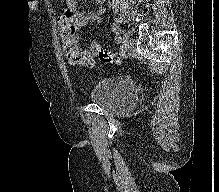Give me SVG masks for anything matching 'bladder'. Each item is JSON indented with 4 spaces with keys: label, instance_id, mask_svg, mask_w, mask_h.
<instances>
[{
    "label": "bladder",
    "instance_id": "31cf9c89",
    "mask_svg": "<svg viewBox=\"0 0 219 192\" xmlns=\"http://www.w3.org/2000/svg\"><path fill=\"white\" fill-rule=\"evenodd\" d=\"M88 98L104 111L118 113L127 110L137 98L136 84L116 77L94 83L88 89Z\"/></svg>",
    "mask_w": 219,
    "mask_h": 192
}]
</instances>
